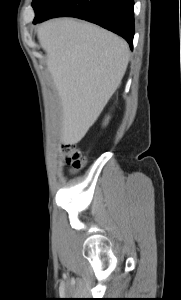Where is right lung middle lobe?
Wrapping results in <instances>:
<instances>
[{"mask_svg":"<svg viewBox=\"0 0 181 300\" xmlns=\"http://www.w3.org/2000/svg\"><path fill=\"white\" fill-rule=\"evenodd\" d=\"M58 0H33L32 6L35 10L36 17L43 15Z\"/></svg>","mask_w":181,"mask_h":300,"instance_id":"obj_1","label":"right lung middle lobe"}]
</instances>
